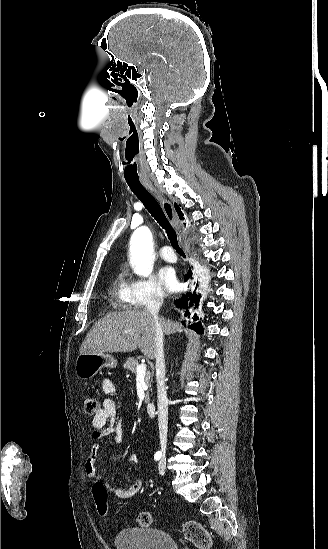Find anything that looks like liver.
<instances>
[{
    "label": "liver",
    "mask_w": 328,
    "mask_h": 549,
    "mask_svg": "<svg viewBox=\"0 0 328 549\" xmlns=\"http://www.w3.org/2000/svg\"><path fill=\"white\" fill-rule=\"evenodd\" d=\"M159 325L164 335L182 331L179 323L163 317H160ZM155 337V321L146 311H115L108 313L91 327L80 347V353H132L135 349H140L147 359H155Z\"/></svg>",
    "instance_id": "1"
}]
</instances>
